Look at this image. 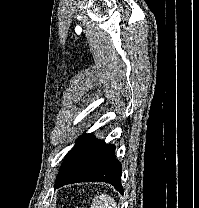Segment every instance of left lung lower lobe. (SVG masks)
<instances>
[{"label":"left lung lower lobe","mask_w":199,"mask_h":208,"mask_svg":"<svg viewBox=\"0 0 199 208\" xmlns=\"http://www.w3.org/2000/svg\"><path fill=\"white\" fill-rule=\"evenodd\" d=\"M115 146L106 145L92 134H84L66 155L55 188L82 181L107 182L123 193L121 163L115 158Z\"/></svg>","instance_id":"left-lung-lower-lobe-1"}]
</instances>
